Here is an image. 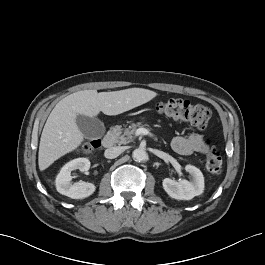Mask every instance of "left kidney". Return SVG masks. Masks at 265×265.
Instances as JSON below:
<instances>
[{
    "mask_svg": "<svg viewBox=\"0 0 265 265\" xmlns=\"http://www.w3.org/2000/svg\"><path fill=\"white\" fill-rule=\"evenodd\" d=\"M185 170L191 175L192 180H182L177 182L170 178L163 180V188L166 193L178 200H191L195 196L201 195L204 191V177L200 169L193 165H186Z\"/></svg>",
    "mask_w": 265,
    "mask_h": 265,
    "instance_id": "left-kidney-1",
    "label": "left kidney"
}]
</instances>
